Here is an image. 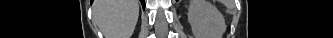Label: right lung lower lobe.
<instances>
[{"instance_id": "obj_1", "label": "right lung lower lobe", "mask_w": 333, "mask_h": 38, "mask_svg": "<svg viewBox=\"0 0 333 38\" xmlns=\"http://www.w3.org/2000/svg\"><path fill=\"white\" fill-rule=\"evenodd\" d=\"M93 1V0H92ZM141 1V3H142V5H143V7H145V1L144 0H140Z\"/></svg>"}]
</instances>
